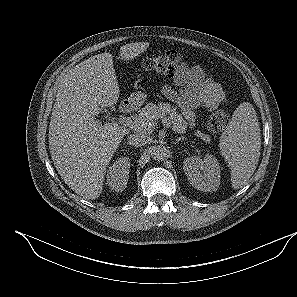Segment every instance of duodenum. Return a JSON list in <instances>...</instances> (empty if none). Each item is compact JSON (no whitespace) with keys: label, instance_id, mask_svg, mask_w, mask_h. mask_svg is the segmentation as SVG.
<instances>
[{"label":"duodenum","instance_id":"1","mask_svg":"<svg viewBox=\"0 0 297 297\" xmlns=\"http://www.w3.org/2000/svg\"><path fill=\"white\" fill-rule=\"evenodd\" d=\"M137 106V101L132 99V100H127V101H124L121 105H120V113L122 115H129L131 114L135 108Z\"/></svg>","mask_w":297,"mask_h":297}]
</instances>
